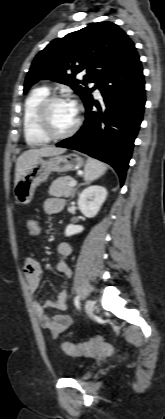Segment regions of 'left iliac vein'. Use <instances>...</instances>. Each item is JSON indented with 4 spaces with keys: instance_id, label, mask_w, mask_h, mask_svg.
<instances>
[{
    "instance_id": "obj_1",
    "label": "left iliac vein",
    "mask_w": 165,
    "mask_h": 419,
    "mask_svg": "<svg viewBox=\"0 0 165 419\" xmlns=\"http://www.w3.org/2000/svg\"><path fill=\"white\" fill-rule=\"evenodd\" d=\"M85 311L88 316H92L94 312V303L91 299H88L85 304Z\"/></svg>"
}]
</instances>
